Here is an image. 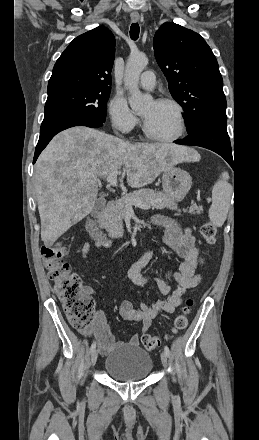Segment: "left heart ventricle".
I'll return each mask as SVG.
<instances>
[{"label": "left heart ventricle", "mask_w": 259, "mask_h": 440, "mask_svg": "<svg viewBox=\"0 0 259 440\" xmlns=\"http://www.w3.org/2000/svg\"><path fill=\"white\" fill-rule=\"evenodd\" d=\"M141 115L154 135L170 137L177 132V114L171 105L150 102L143 108Z\"/></svg>", "instance_id": "left-heart-ventricle-1"}]
</instances>
